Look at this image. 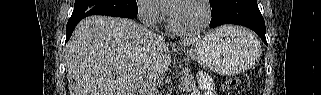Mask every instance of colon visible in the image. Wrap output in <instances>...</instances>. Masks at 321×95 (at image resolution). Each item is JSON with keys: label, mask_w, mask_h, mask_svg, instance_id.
Wrapping results in <instances>:
<instances>
[{"label": "colon", "mask_w": 321, "mask_h": 95, "mask_svg": "<svg viewBox=\"0 0 321 95\" xmlns=\"http://www.w3.org/2000/svg\"><path fill=\"white\" fill-rule=\"evenodd\" d=\"M240 85V80L238 77L229 78L223 86L225 91H232Z\"/></svg>", "instance_id": "obj_1"}]
</instances>
